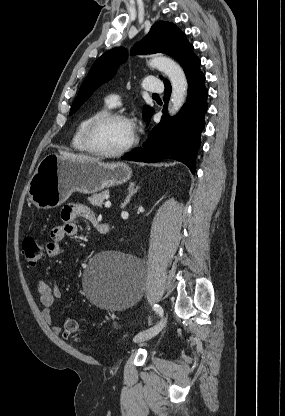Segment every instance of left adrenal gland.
<instances>
[{
	"instance_id": "a2214340",
	"label": "left adrenal gland",
	"mask_w": 285,
	"mask_h": 416,
	"mask_svg": "<svg viewBox=\"0 0 285 416\" xmlns=\"http://www.w3.org/2000/svg\"><path fill=\"white\" fill-rule=\"evenodd\" d=\"M137 190H139V186H136V188H135V182H130L129 188H128V196H127L124 204H121V208H125V206H127V204H129L131 196H134V194H136Z\"/></svg>"
}]
</instances>
